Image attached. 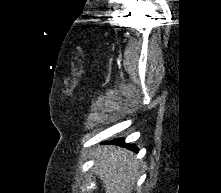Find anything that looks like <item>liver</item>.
Wrapping results in <instances>:
<instances>
[{
	"label": "liver",
	"mask_w": 221,
	"mask_h": 193,
	"mask_svg": "<svg viewBox=\"0 0 221 193\" xmlns=\"http://www.w3.org/2000/svg\"><path fill=\"white\" fill-rule=\"evenodd\" d=\"M96 173L100 177L106 193H132L140 176L139 162L133 152L108 146L94 154Z\"/></svg>",
	"instance_id": "6515ba94"
}]
</instances>
